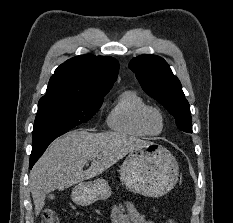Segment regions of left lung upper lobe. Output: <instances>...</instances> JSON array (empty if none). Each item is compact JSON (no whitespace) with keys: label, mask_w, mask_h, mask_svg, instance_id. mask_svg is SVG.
<instances>
[{"label":"left lung upper lobe","mask_w":233,"mask_h":223,"mask_svg":"<svg viewBox=\"0 0 233 223\" xmlns=\"http://www.w3.org/2000/svg\"><path fill=\"white\" fill-rule=\"evenodd\" d=\"M129 68L136 74L143 90L175 117L177 127L192 133L189 103L179 79L173 75L166 61L156 55L143 54L132 59Z\"/></svg>","instance_id":"left-lung-upper-lobe-1"}]
</instances>
